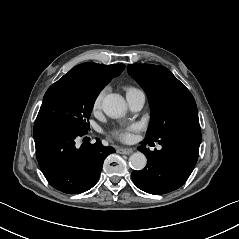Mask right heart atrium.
Instances as JSON below:
<instances>
[{
  "mask_svg": "<svg viewBox=\"0 0 239 239\" xmlns=\"http://www.w3.org/2000/svg\"><path fill=\"white\" fill-rule=\"evenodd\" d=\"M105 93H106V88L100 90L96 94V96L94 98V101H93V109H96V108L101 106V103H102V100H103V97H104Z\"/></svg>",
  "mask_w": 239,
  "mask_h": 239,
  "instance_id": "d8ad5b80",
  "label": "right heart atrium"
}]
</instances>
